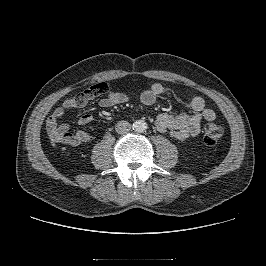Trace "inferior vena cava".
Segmentation results:
<instances>
[{
  "label": "inferior vena cava",
  "instance_id": "obj_1",
  "mask_svg": "<svg viewBox=\"0 0 266 266\" xmlns=\"http://www.w3.org/2000/svg\"><path fill=\"white\" fill-rule=\"evenodd\" d=\"M131 129V125L129 122L127 121H119L116 125H115V130L117 133L119 134H126L130 131Z\"/></svg>",
  "mask_w": 266,
  "mask_h": 266
}]
</instances>
